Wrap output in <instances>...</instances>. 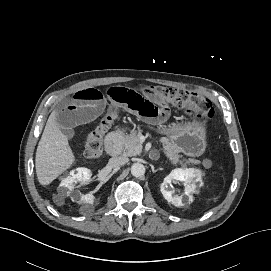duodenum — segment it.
I'll return each mask as SVG.
<instances>
[{"mask_svg": "<svg viewBox=\"0 0 271 271\" xmlns=\"http://www.w3.org/2000/svg\"><path fill=\"white\" fill-rule=\"evenodd\" d=\"M122 144V134L119 131L109 133L105 139V148L107 153L116 157L119 155Z\"/></svg>", "mask_w": 271, "mask_h": 271, "instance_id": "obj_1", "label": "duodenum"}]
</instances>
